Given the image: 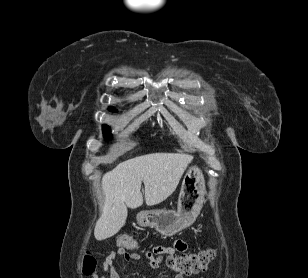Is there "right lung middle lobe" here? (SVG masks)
<instances>
[{
	"mask_svg": "<svg viewBox=\"0 0 308 278\" xmlns=\"http://www.w3.org/2000/svg\"><path fill=\"white\" fill-rule=\"evenodd\" d=\"M103 133L107 139L111 137L110 128L107 125L103 126Z\"/></svg>",
	"mask_w": 308,
	"mask_h": 278,
	"instance_id": "dd1d6c3e",
	"label": "right lung middle lobe"
}]
</instances>
